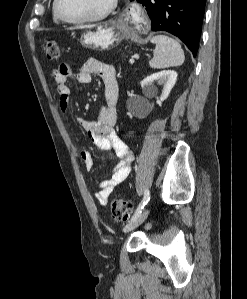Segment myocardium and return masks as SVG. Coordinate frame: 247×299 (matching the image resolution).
Returning a JSON list of instances; mask_svg holds the SVG:
<instances>
[{"instance_id":"obj_1","label":"myocardium","mask_w":247,"mask_h":299,"mask_svg":"<svg viewBox=\"0 0 247 299\" xmlns=\"http://www.w3.org/2000/svg\"><path fill=\"white\" fill-rule=\"evenodd\" d=\"M59 4H60V0H54L53 10L60 21L65 22L67 24H84V23L98 22L105 19L115 9L117 0H110L107 7L103 11H101L100 13L94 16L78 18V19H69L65 17L60 11Z\"/></svg>"}]
</instances>
